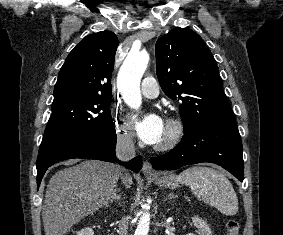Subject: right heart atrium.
Instances as JSON below:
<instances>
[{"label":"right heart atrium","instance_id":"d8ad5b80","mask_svg":"<svg viewBox=\"0 0 283 235\" xmlns=\"http://www.w3.org/2000/svg\"><path fill=\"white\" fill-rule=\"evenodd\" d=\"M115 130L119 140L126 144H131L135 138V133L130 122L123 118H116Z\"/></svg>","mask_w":283,"mask_h":235}]
</instances>
